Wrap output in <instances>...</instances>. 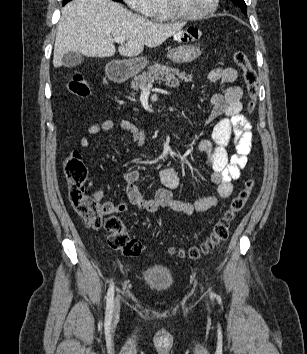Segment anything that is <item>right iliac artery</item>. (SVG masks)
<instances>
[{
    "mask_svg": "<svg viewBox=\"0 0 307 354\" xmlns=\"http://www.w3.org/2000/svg\"><path fill=\"white\" fill-rule=\"evenodd\" d=\"M113 300H114V284L111 283L107 292V304H106V315H105V321L107 323H110L112 319Z\"/></svg>",
    "mask_w": 307,
    "mask_h": 354,
    "instance_id": "1",
    "label": "right iliac artery"
}]
</instances>
